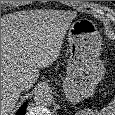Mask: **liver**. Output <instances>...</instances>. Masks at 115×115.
Segmentation results:
<instances>
[{"mask_svg":"<svg viewBox=\"0 0 115 115\" xmlns=\"http://www.w3.org/2000/svg\"><path fill=\"white\" fill-rule=\"evenodd\" d=\"M63 19L33 12L1 17V115L11 114L19 99L15 82L23 80V90H28L37 81L39 69L60 55L62 36L70 25Z\"/></svg>","mask_w":115,"mask_h":115,"instance_id":"6515ba94","label":"liver"}]
</instances>
